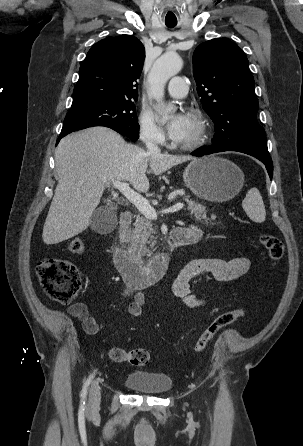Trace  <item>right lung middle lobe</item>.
I'll list each match as a JSON object with an SVG mask.
<instances>
[{
  "mask_svg": "<svg viewBox=\"0 0 303 446\" xmlns=\"http://www.w3.org/2000/svg\"><path fill=\"white\" fill-rule=\"evenodd\" d=\"M92 125L109 127L132 140H137L139 137L136 109L131 100L109 101L71 108L65 117L60 134L71 133Z\"/></svg>",
  "mask_w": 303,
  "mask_h": 446,
  "instance_id": "obj_1",
  "label": "right lung middle lobe"
}]
</instances>
